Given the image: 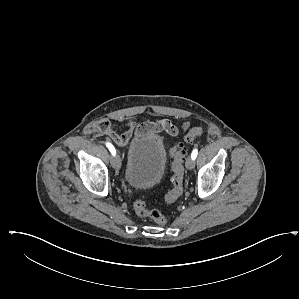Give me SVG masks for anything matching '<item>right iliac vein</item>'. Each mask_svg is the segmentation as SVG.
<instances>
[{
    "label": "right iliac vein",
    "instance_id": "63e3f726",
    "mask_svg": "<svg viewBox=\"0 0 299 299\" xmlns=\"http://www.w3.org/2000/svg\"><path fill=\"white\" fill-rule=\"evenodd\" d=\"M112 167L114 170L119 171L121 168V160L120 157L117 155L111 161Z\"/></svg>",
    "mask_w": 299,
    "mask_h": 299
}]
</instances>
